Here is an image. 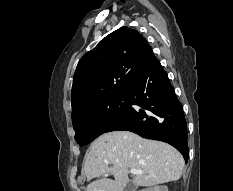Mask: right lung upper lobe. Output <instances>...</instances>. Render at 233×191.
Masks as SVG:
<instances>
[{"instance_id":"1","label":"right lung upper lobe","mask_w":233,"mask_h":191,"mask_svg":"<svg viewBox=\"0 0 233 191\" xmlns=\"http://www.w3.org/2000/svg\"><path fill=\"white\" fill-rule=\"evenodd\" d=\"M152 49L126 26L102 39L79 61L72 86V117L106 100L127 95L145 70Z\"/></svg>"}]
</instances>
